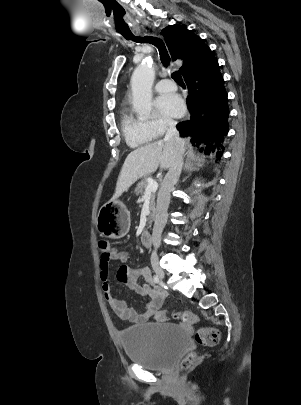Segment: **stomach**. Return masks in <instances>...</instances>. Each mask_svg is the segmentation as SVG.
<instances>
[{
  "instance_id": "1",
  "label": "stomach",
  "mask_w": 301,
  "mask_h": 405,
  "mask_svg": "<svg viewBox=\"0 0 301 405\" xmlns=\"http://www.w3.org/2000/svg\"><path fill=\"white\" fill-rule=\"evenodd\" d=\"M130 213L125 205L118 201H109L104 204L97 215L96 227L100 234L106 238L120 239L130 229Z\"/></svg>"
}]
</instances>
